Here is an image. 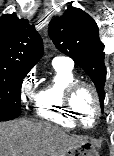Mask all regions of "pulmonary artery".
Returning a JSON list of instances; mask_svg holds the SVG:
<instances>
[{"label":"pulmonary artery","instance_id":"e3ab8cb5","mask_svg":"<svg viewBox=\"0 0 114 156\" xmlns=\"http://www.w3.org/2000/svg\"><path fill=\"white\" fill-rule=\"evenodd\" d=\"M53 64L54 65H65V66H68V67H73V60L67 56H62V55H59V56H56L54 59H53Z\"/></svg>","mask_w":114,"mask_h":156}]
</instances>
